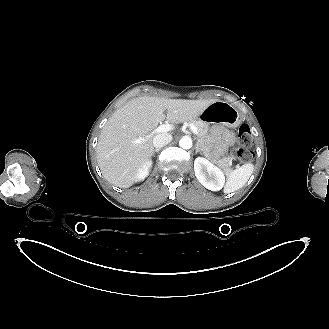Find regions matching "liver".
Listing matches in <instances>:
<instances>
[{
	"instance_id": "liver-1",
	"label": "liver",
	"mask_w": 329,
	"mask_h": 329,
	"mask_svg": "<svg viewBox=\"0 0 329 329\" xmlns=\"http://www.w3.org/2000/svg\"><path fill=\"white\" fill-rule=\"evenodd\" d=\"M217 99H168L143 96L120 107L103 127L97 144V162L112 185L128 188L137 181L139 170L152 156L153 140L147 135L165 119L171 123L193 121ZM167 110V114L164 111ZM142 144H133L139 137Z\"/></svg>"
}]
</instances>
